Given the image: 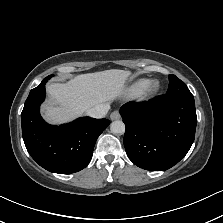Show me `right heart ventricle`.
Segmentation results:
<instances>
[{
    "mask_svg": "<svg viewBox=\"0 0 223 223\" xmlns=\"http://www.w3.org/2000/svg\"><path fill=\"white\" fill-rule=\"evenodd\" d=\"M144 80L143 79H139L135 82H133L127 89H126V93L129 97H132L134 95H136L138 93V91L140 90L142 84H143Z\"/></svg>",
    "mask_w": 223,
    "mask_h": 223,
    "instance_id": "obj_1",
    "label": "right heart ventricle"
}]
</instances>
